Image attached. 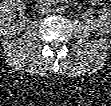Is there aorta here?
I'll return each instance as SVG.
<instances>
[{
  "label": "aorta",
  "instance_id": "obj_1",
  "mask_svg": "<svg viewBox=\"0 0 111 106\" xmlns=\"http://www.w3.org/2000/svg\"><path fill=\"white\" fill-rule=\"evenodd\" d=\"M64 11V8L63 7H57L56 8V12L57 13H62Z\"/></svg>",
  "mask_w": 111,
  "mask_h": 106
}]
</instances>
